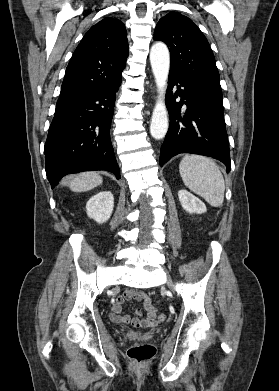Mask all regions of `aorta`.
I'll return each instance as SVG.
<instances>
[{"label":"aorta","mask_w":279,"mask_h":391,"mask_svg":"<svg viewBox=\"0 0 279 391\" xmlns=\"http://www.w3.org/2000/svg\"><path fill=\"white\" fill-rule=\"evenodd\" d=\"M150 63L159 92L158 101L154 107L150 133L153 138H164L168 130V112L165 105V92L170 67V55L167 46L162 42L155 43L150 50Z\"/></svg>","instance_id":"aorta-1"}]
</instances>
